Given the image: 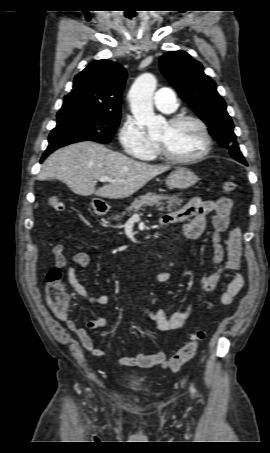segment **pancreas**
<instances>
[{
  "label": "pancreas",
  "instance_id": "1",
  "mask_svg": "<svg viewBox=\"0 0 270 453\" xmlns=\"http://www.w3.org/2000/svg\"><path fill=\"white\" fill-rule=\"evenodd\" d=\"M180 195L166 196V195H155L147 193L146 195L140 196L139 199H135L132 204L126 208L121 214L112 216V220L119 222L124 218L127 213L137 212L143 207L149 206L157 211H165L175 209L180 206L184 201L179 197Z\"/></svg>",
  "mask_w": 270,
  "mask_h": 453
}]
</instances>
